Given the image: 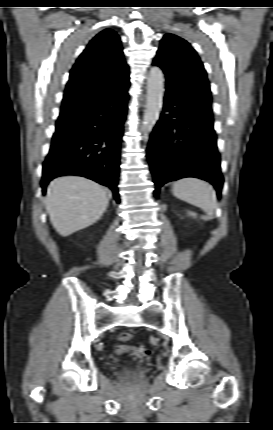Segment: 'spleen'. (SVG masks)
Masks as SVG:
<instances>
[{
    "mask_svg": "<svg viewBox=\"0 0 273 430\" xmlns=\"http://www.w3.org/2000/svg\"><path fill=\"white\" fill-rule=\"evenodd\" d=\"M172 192L180 200L202 208L208 215L217 208L214 189L204 180L193 177L179 179L174 182Z\"/></svg>",
    "mask_w": 273,
    "mask_h": 430,
    "instance_id": "3e777b00",
    "label": "spleen"
}]
</instances>
